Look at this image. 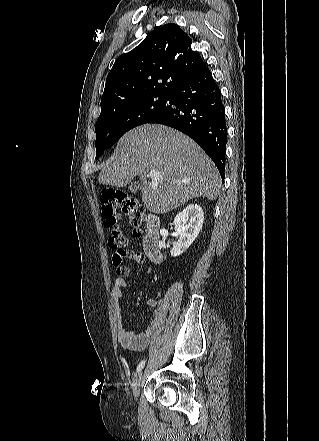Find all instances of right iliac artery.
I'll return each mask as SVG.
<instances>
[{"label": "right iliac artery", "mask_w": 319, "mask_h": 441, "mask_svg": "<svg viewBox=\"0 0 319 441\" xmlns=\"http://www.w3.org/2000/svg\"><path fill=\"white\" fill-rule=\"evenodd\" d=\"M145 365V360L141 361L137 366V372H140Z\"/></svg>", "instance_id": "82829eb1"}]
</instances>
